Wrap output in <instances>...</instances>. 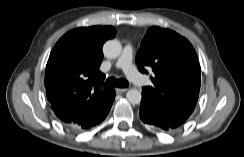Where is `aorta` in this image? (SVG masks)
I'll list each match as a JSON object with an SVG mask.
<instances>
[{
    "label": "aorta",
    "mask_w": 244,
    "mask_h": 157,
    "mask_svg": "<svg viewBox=\"0 0 244 157\" xmlns=\"http://www.w3.org/2000/svg\"><path fill=\"white\" fill-rule=\"evenodd\" d=\"M121 51L122 45L116 39L106 41L103 46V53L107 58H117ZM126 98L132 104H139L142 99L141 92L137 89H130L126 93Z\"/></svg>",
    "instance_id": "aorta-1"
}]
</instances>
